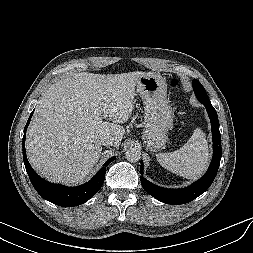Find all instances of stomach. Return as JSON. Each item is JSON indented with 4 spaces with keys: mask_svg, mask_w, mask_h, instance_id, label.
<instances>
[{
    "mask_svg": "<svg viewBox=\"0 0 253 253\" xmlns=\"http://www.w3.org/2000/svg\"><path fill=\"white\" fill-rule=\"evenodd\" d=\"M137 91L145 105L142 138L148 149L155 151L168 140V130L173 126V111L167 98L165 79L157 73L142 75Z\"/></svg>",
    "mask_w": 253,
    "mask_h": 253,
    "instance_id": "stomach-1",
    "label": "stomach"
}]
</instances>
